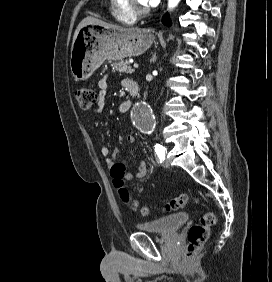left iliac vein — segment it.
<instances>
[{"mask_svg":"<svg viewBox=\"0 0 272 282\" xmlns=\"http://www.w3.org/2000/svg\"><path fill=\"white\" fill-rule=\"evenodd\" d=\"M164 164H165V166H166V167H169V166H170V164H169V162H168V161H165V163H164Z\"/></svg>","mask_w":272,"mask_h":282,"instance_id":"left-iliac-vein-1","label":"left iliac vein"}]
</instances>
